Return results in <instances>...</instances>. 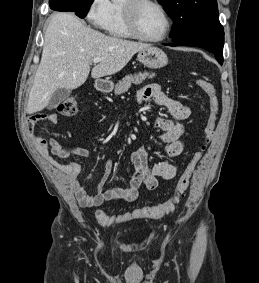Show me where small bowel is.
Instances as JSON below:
<instances>
[{
  "label": "small bowel",
  "mask_w": 259,
  "mask_h": 283,
  "mask_svg": "<svg viewBox=\"0 0 259 283\" xmlns=\"http://www.w3.org/2000/svg\"><path fill=\"white\" fill-rule=\"evenodd\" d=\"M148 100H153L155 104L166 107L176 120L158 117L153 122V126L161 131L159 140L164 145L163 150L167 160L149 167L147 150L143 147L136 148L130 156L134 171L129 186L124 189L114 187L104 190V186L113 175V165L110 160L106 162L105 172L97 185V193L90 195L80 181L81 165L77 162L63 163L55 159L63 160L70 155L83 158L92 156L91 151L86 148L72 146L64 149L57 139L52 138L48 141L36 133L37 124L43 120L57 124L58 117L56 114L39 113L31 116L27 121V130L43 157L67 180L81 205L96 207L106 201L115 200L132 202L136 200L141 186L148 190H154L159 178L170 180L177 175V166L170 159L179 156L183 151L184 145L181 138L184 133V125L182 122L188 119L191 114L187 105L166 95L158 85H148L139 90L138 102L142 104Z\"/></svg>",
  "instance_id": "1"
}]
</instances>
